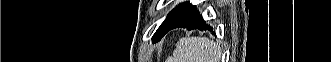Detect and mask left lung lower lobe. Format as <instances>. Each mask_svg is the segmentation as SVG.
<instances>
[{
  "label": "left lung lower lobe",
  "instance_id": "obj_1",
  "mask_svg": "<svg viewBox=\"0 0 331 62\" xmlns=\"http://www.w3.org/2000/svg\"><path fill=\"white\" fill-rule=\"evenodd\" d=\"M187 28L191 29H209L210 28L206 22L203 20L202 16L197 12L195 6L186 2L166 23L164 27L163 36L168 33L170 30L175 28ZM162 36V37H163ZM154 40L156 36L154 35Z\"/></svg>",
  "mask_w": 331,
  "mask_h": 62
}]
</instances>
